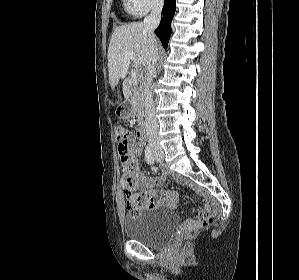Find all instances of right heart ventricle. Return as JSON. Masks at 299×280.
Segmentation results:
<instances>
[{"label":"right heart ventricle","instance_id":"e07e8e85","mask_svg":"<svg viewBox=\"0 0 299 280\" xmlns=\"http://www.w3.org/2000/svg\"><path fill=\"white\" fill-rule=\"evenodd\" d=\"M124 2H125L127 8H128L130 11H134L133 8H132V6H131V4H130V1H129V0H124Z\"/></svg>","mask_w":299,"mask_h":280}]
</instances>
